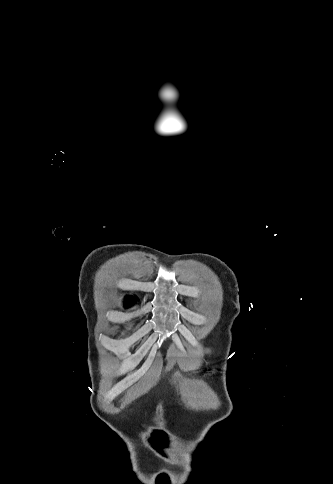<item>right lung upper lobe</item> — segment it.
Returning a JSON list of instances; mask_svg holds the SVG:
<instances>
[{
	"mask_svg": "<svg viewBox=\"0 0 333 484\" xmlns=\"http://www.w3.org/2000/svg\"><path fill=\"white\" fill-rule=\"evenodd\" d=\"M133 302L132 299H127V304L130 305Z\"/></svg>",
	"mask_w": 333,
	"mask_h": 484,
	"instance_id": "cb5924a9",
	"label": "right lung upper lobe"
}]
</instances>
